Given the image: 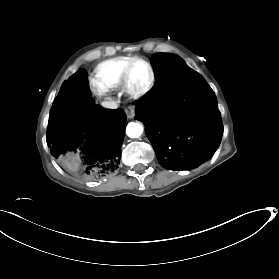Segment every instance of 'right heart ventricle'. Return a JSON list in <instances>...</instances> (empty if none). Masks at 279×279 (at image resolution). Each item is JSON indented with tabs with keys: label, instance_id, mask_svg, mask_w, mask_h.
I'll return each instance as SVG.
<instances>
[{
	"label": "right heart ventricle",
	"instance_id": "obj_1",
	"mask_svg": "<svg viewBox=\"0 0 279 279\" xmlns=\"http://www.w3.org/2000/svg\"><path fill=\"white\" fill-rule=\"evenodd\" d=\"M130 59L131 57H116L101 62L94 70L95 86L101 90L122 88L124 68Z\"/></svg>",
	"mask_w": 279,
	"mask_h": 279
}]
</instances>
